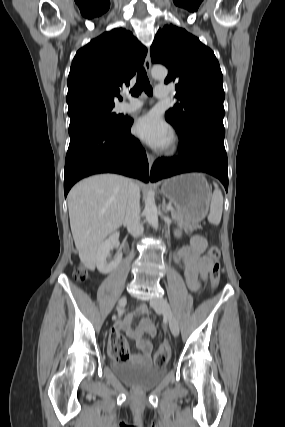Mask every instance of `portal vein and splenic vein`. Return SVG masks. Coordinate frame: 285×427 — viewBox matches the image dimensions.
Wrapping results in <instances>:
<instances>
[{"label":"portal vein and splenic vein","instance_id":"1","mask_svg":"<svg viewBox=\"0 0 285 427\" xmlns=\"http://www.w3.org/2000/svg\"><path fill=\"white\" fill-rule=\"evenodd\" d=\"M167 209L171 211L174 210L172 206H167Z\"/></svg>","mask_w":285,"mask_h":427}]
</instances>
